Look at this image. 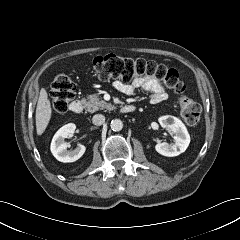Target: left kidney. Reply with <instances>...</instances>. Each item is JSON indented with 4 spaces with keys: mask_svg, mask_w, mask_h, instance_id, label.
Listing matches in <instances>:
<instances>
[{
    "mask_svg": "<svg viewBox=\"0 0 240 240\" xmlns=\"http://www.w3.org/2000/svg\"><path fill=\"white\" fill-rule=\"evenodd\" d=\"M158 121L163 128L173 132L175 143H157L155 145V150L159 154L167 157L178 156L185 152L190 143V135L183 122L171 115L162 116Z\"/></svg>",
    "mask_w": 240,
    "mask_h": 240,
    "instance_id": "obj_1",
    "label": "left kidney"
}]
</instances>
